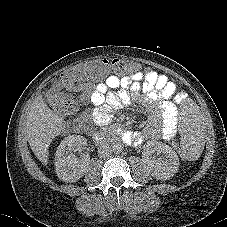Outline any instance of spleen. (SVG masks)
<instances>
[{
	"label": "spleen",
	"mask_w": 227,
	"mask_h": 227,
	"mask_svg": "<svg viewBox=\"0 0 227 227\" xmlns=\"http://www.w3.org/2000/svg\"><path fill=\"white\" fill-rule=\"evenodd\" d=\"M179 114L183 149L192 156L201 155L206 149V142L202 137V115L199 105L193 100H186L180 105Z\"/></svg>",
	"instance_id": "obj_1"
}]
</instances>
